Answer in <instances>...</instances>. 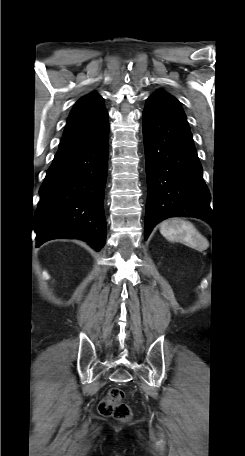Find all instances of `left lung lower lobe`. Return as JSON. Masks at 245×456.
Listing matches in <instances>:
<instances>
[{
  "instance_id": "obj_1",
  "label": "left lung lower lobe",
  "mask_w": 245,
  "mask_h": 456,
  "mask_svg": "<svg viewBox=\"0 0 245 456\" xmlns=\"http://www.w3.org/2000/svg\"><path fill=\"white\" fill-rule=\"evenodd\" d=\"M143 138L148 184L145 240L169 217L208 221L210 193L180 104L150 96L143 111Z\"/></svg>"
}]
</instances>
